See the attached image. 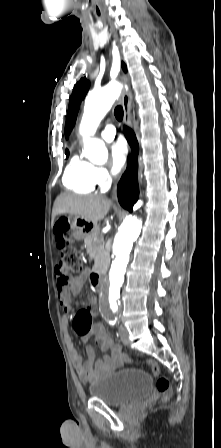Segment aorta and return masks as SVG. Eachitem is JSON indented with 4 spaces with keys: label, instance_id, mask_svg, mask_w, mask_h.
<instances>
[{
    "label": "aorta",
    "instance_id": "obj_1",
    "mask_svg": "<svg viewBox=\"0 0 221 448\" xmlns=\"http://www.w3.org/2000/svg\"><path fill=\"white\" fill-rule=\"evenodd\" d=\"M121 89L120 84L109 83L102 89L91 92L86 98L79 131L83 136V153L94 164H104L108 159V150L102 141L93 139L91 136L120 95ZM141 229L142 221L136 216H129L125 218L114 237L112 251L115 259L109 273V282L104 290L108 308L113 312L118 309L120 289L124 281L129 254Z\"/></svg>",
    "mask_w": 221,
    "mask_h": 448
}]
</instances>
